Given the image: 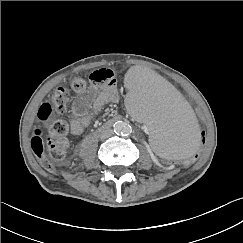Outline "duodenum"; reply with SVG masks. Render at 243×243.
Segmentation results:
<instances>
[{"label": "duodenum", "mask_w": 243, "mask_h": 243, "mask_svg": "<svg viewBox=\"0 0 243 243\" xmlns=\"http://www.w3.org/2000/svg\"><path fill=\"white\" fill-rule=\"evenodd\" d=\"M117 118L110 119L106 121L104 124L99 126L98 128L94 129L91 133H89L80 143L79 149L82 152H85L91 144L105 131L112 128L115 121H117Z\"/></svg>", "instance_id": "410a0bca"}]
</instances>
